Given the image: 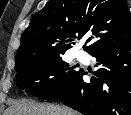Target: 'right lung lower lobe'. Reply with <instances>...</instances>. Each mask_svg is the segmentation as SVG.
<instances>
[{
  "label": "right lung lower lobe",
  "instance_id": "1",
  "mask_svg": "<svg viewBox=\"0 0 131 115\" xmlns=\"http://www.w3.org/2000/svg\"><path fill=\"white\" fill-rule=\"evenodd\" d=\"M92 56L101 65L95 77L86 83L80 71L60 98L84 115H131V43Z\"/></svg>",
  "mask_w": 131,
  "mask_h": 115
}]
</instances>
